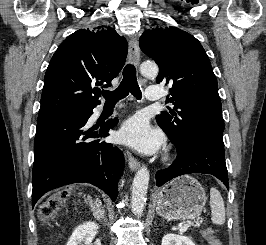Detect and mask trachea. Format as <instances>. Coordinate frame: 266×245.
I'll return each mask as SVG.
<instances>
[{
	"label": "trachea",
	"mask_w": 266,
	"mask_h": 245,
	"mask_svg": "<svg viewBox=\"0 0 266 245\" xmlns=\"http://www.w3.org/2000/svg\"><path fill=\"white\" fill-rule=\"evenodd\" d=\"M129 92H131L138 100L142 98V94L137 83L136 70L133 65L125 66L123 71V80L119 87L112 92H104L103 96L107 103H116L119 100H122V98L127 97Z\"/></svg>",
	"instance_id": "3493384b"
}]
</instances>
